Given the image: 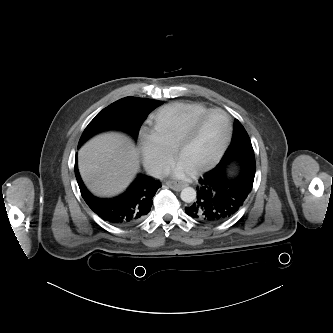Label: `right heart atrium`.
<instances>
[{"label": "right heart atrium", "mask_w": 333, "mask_h": 333, "mask_svg": "<svg viewBox=\"0 0 333 333\" xmlns=\"http://www.w3.org/2000/svg\"><path fill=\"white\" fill-rule=\"evenodd\" d=\"M140 151L145 167L154 176H161L172 160V149L152 130L142 131Z\"/></svg>", "instance_id": "1"}]
</instances>
